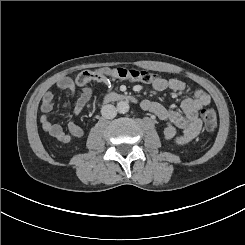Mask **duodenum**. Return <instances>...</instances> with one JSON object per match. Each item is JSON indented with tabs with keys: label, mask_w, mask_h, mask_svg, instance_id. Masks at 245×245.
Returning a JSON list of instances; mask_svg holds the SVG:
<instances>
[{
	"label": "duodenum",
	"mask_w": 245,
	"mask_h": 245,
	"mask_svg": "<svg viewBox=\"0 0 245 245\" xmlns=\"http://www.w3.org/2000/svg\"><path fill=\"white\" fill-rule=\"evenodd\" d=\"M104 100H105V102L122 101V100H132V101H134L135 98L132 97L131 95H128V94L112 92V93H109L105 97Z\"/></svg>",
	"instance_id": "obj_1"
}]
</instances>
